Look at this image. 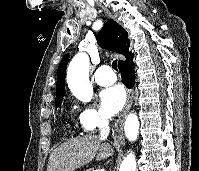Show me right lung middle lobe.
Returning <instances> with one entry per match:
<instances>
[{
    "instance_id": "1",
    "label": "right lung middle lobe",
    "mask_w": 199,
    "mask_h": 171,
    "mask_svg": "<svg viewBox=\"0 0 199 171\" xmlns=\"http://www.w3.org/2000/svg\"><path fill=\"white\" fill-rule=\"evenodd\" d=\"M61 103H62V99L56 100V103H55L56 107H60Z\"/></svg>"
}]
</instances>
